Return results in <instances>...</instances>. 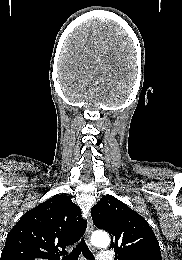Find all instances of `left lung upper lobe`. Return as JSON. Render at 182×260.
Instances as JSON below:
<instances>
[{"mask_svg":"<svg viewBox=\"0 0 182 260\" xmlns=\"http://www.w3.org/2000/svg\"><path fill=\"white\" fill-rule=\"evenodd\" d=\"M99 229L109 232L115 260H162L158 240L148 222L113 196H104L92 208Z\"/></svg>","mask_w":182,"mask_h":260,"instance_id":"obj_1","label":"left lung upper lobe"}]
</instances>
